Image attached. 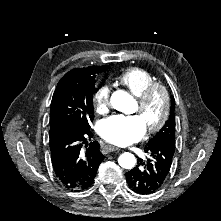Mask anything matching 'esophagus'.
I'll return each mask as SVG.
<instances>
[{
  "label": "esophagus",
  "instance_id": "obj_1",
  "mask_svg": "<svg viewBox=\"0 0 221 221\" xmlns=\"http://www.w3.org/2000/svg\"><path fill=\"white\" fill-rule=\"evenodd\" d=\"M113 151H120V148L110 145V144H104V146H102V152L104 154H106L108 152H113Z\"/></svg>",
  "mask_w": 221,
  "mask_h": 221
}]
</instances>
